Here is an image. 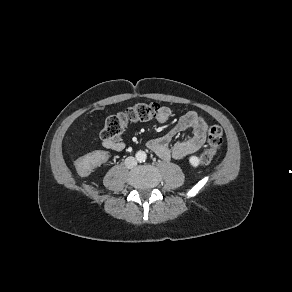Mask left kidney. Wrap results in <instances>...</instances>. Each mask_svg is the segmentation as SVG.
Instances as JSON below:
<instances>
[{"label":"left kidney","mask_w":292,"mask_h":292,"mask_svg":"<svg viewBox=\"0 0 292 292\" xmlns=\"http://www.w3.org/2000/svg\"><path fill=\"white\" fill-rule=\"evenodd\" d=\"M189 163L193 166V167H197L200 164V159L197 156H191L189 158Z\"/></svg>","instance_id":"5707ae66"}]
</instances>
